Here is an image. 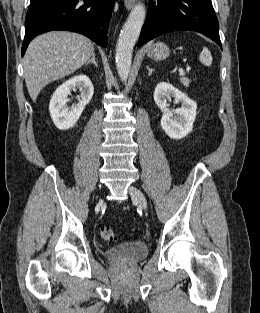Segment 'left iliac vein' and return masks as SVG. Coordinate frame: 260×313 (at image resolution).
<instances>
[{"label":"left iliac vein","instance_id":"1","mask_svg":"<svg viewBox=\"0 0 260 313\" xmlns=\"http://www.w3.org/2000/svg\"><path fill=\"white\" fill-rule=\"evenodd\" d=\"M129 194L133 201H136L144 210H147V200L144 194L135 186L129 188Z\"/></svg>","mask_w":260,"mask_h":313}]
</instances>
